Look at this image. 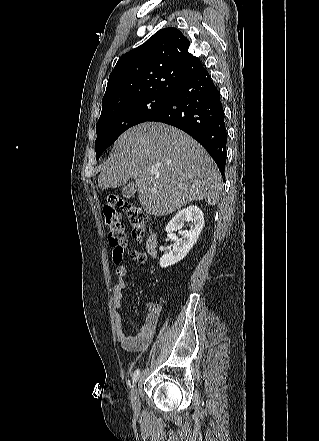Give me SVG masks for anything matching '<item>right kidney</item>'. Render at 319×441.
<instances>
[{
  "label": "right kidney",
  "instance_id": "1",
  "mask_svg": "<svg viewBox=\"0 0 319 441\" xmlns=\"http://www.w3.org/2000/svg\"><path fill=\"white\" fill-rule=\"evenodd\" d=\"M190 224V229L181 231L182 238L177 240L169 253L164 254L159 261L160 267L166 268L175 263H178L192 247L196 244L199 235L204 226V217L202 210L194 205L180 210L168 223L165 231L171 233L173 231L181 230L185 223Z\"/></svg>",
  "mask_w": 319,
  "mask_h": 441
}]
</instances>
